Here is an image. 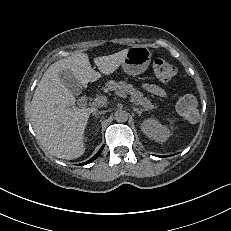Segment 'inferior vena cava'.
<instances>
[{"label": "inferior vena cava", "mask_w": 231, "mask_h": 231, "mask_svg": "<svg viewBox=\"0 0 231 231\" xmlns=\"http://www.w3.org/2000/svg\"><path fill=\"white\" fill-rule=\"evenodd\" d=\"M104 113H105V111H95L93 113V115H100V114H104Z\"/></svg>", "instance_id": "inferior-vena-cava-1"}]
</instances>
